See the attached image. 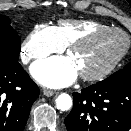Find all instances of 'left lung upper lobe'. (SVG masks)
Here are the masks:
<instances>
[{"label":"left lung upper lobe","mask_w":131,"mask_h":131,"mask_svg":"<svg viewBox=\"0 0 131 131\" xmlns=\"http://www.w3.org/2000/svg\"><path fill=\"white\" fill-rule=\"evenodd\" d=\"M101 84H128L131 85V62L123 69L115 72L107 79L100 81Z\"/></svg>","instance_id":"5c2ea615"}]
</instances>
